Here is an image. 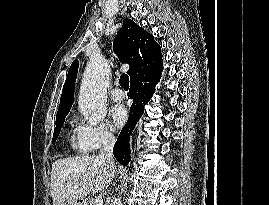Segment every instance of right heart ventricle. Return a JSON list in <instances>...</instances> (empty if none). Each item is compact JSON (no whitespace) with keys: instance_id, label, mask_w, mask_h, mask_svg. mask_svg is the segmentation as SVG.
Returning <instances> with one entry per match:
<instances>
[{"instance_id":"right-heart-ventricle-1","label":"right heart ventricle","mask_w":269,"mask_h":205,"mask_svg":"<svg viewBox=\"0 0 269 205\" xmlns=\"http://www.w3.org/2000/svg\"><path fill=\"white\" fill-rule=\"evenodd\" d=\"M73 147L77 150V151H79V152H81V153H86L88 150H86L84 147H82L78 142H76V141H73Z\"/></svg>"}]
</instances>
